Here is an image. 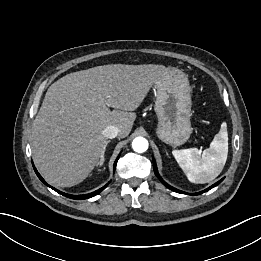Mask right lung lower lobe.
Returning a JSON list of instances; mask_svg holds the SVG:
<instances>
[{"instance_id":"98d812e1","label":"right lung lower lobe","mask_w":261,"mask_h":261,"mask_svg":"<svg viewBox=\"0 0 261 261\" xmlns=\"http://www.w3.org/2000/svg\"><path fill=\"white\" fill-rule=\"evenodd\" d=\"M119 157H120V155L117 157V159H116V161H115V163H114V169H115V166H116V164H117V161H118ZM32 164H33V163H32ZM33 168H34V170H35L37 176L39 177V179H40L45 185L49 186L50 188H52V189L55 190L56 192H58V193H60V194H62V195H64V196H66V197H68V198H71V199L82 200V199L91 198V197H93V196L99 194V193H100L102 190H104V189L106 188V186L108 185V184H107V185L103 186L102 188L96 190L95 192H92V193H89V194H85V195H70V194L63 193V192H61V191H59V190H57V189L51 187L50 185H48V184L45 182V180L41 177V175L38 173V171L36 170V168H35L34 165H33Z\"/></svg>"}]
</instances>
